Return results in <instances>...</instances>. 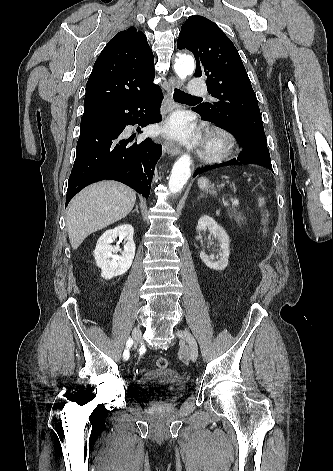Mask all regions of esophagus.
Wrapping results in <instances>:
<instances>
[{
    "label": "esophagus",
    "instance_id": "1",
    "mask_svg": "<svg viewBox=\"0 0 333 471\" xmlns=\"http://www.w3.org/2000/svg\"><path fill=\"white\" fill-rule=\"evenodd\" d=\"M181 87V82L179 79L175 78L174 76H171L169 78V93H168V98H169V110H172L176 107V104L172 100L173 92L174 89L180 88ZM163 149L166 151L168 155L171 156H177L181 153L180 147L175 144L174 142L170 140H165L163 144Z\"/></svg>",
    "mask_w": 333,
    "mask_h": 471
}]
</instances>
